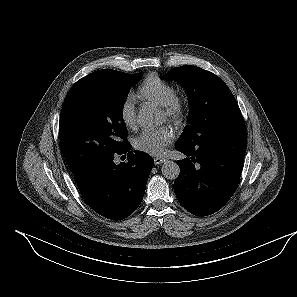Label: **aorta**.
Instances as JSON below:
<instances>
[{
	"label": "aorta",
	"mask_w": 297,
	"mask_h": 297,
	"mask_svg": "<svg viewBox=\"0 0 297 297\" xmlns=\"http://www.w3.org/2000/svg\"><path fill=\"white\" fill-rule=\"evenodd\" d=\"M137 122L143 127H154L160 122L159 113L154 108L144 107L138 112ZM161 171L166 179L174 180L178 177L180 168L176 162L166 161Z\"/></svg>",
	"instance_id": "762f6f07"
}]
</instances>
